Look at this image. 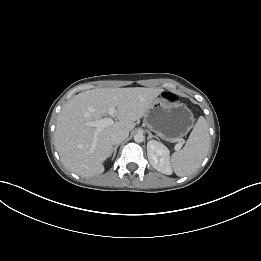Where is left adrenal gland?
<instances>
[{"label": "left adrenal gland", "mask_w": 261, "mask_h": 261, "mask_svg": "<svg viewBox=\"0 0 261 261\" xmlns=\"http://www.w3.org/2000/svg\"><path fill=\"white\" fill-rule=\"evenodd\" d=\"M147 132H148V138H147L148 140L154 137L150 131Z\"/></svg>", "instance_id": "left-adrenal-gland-1"}]
</instances>
